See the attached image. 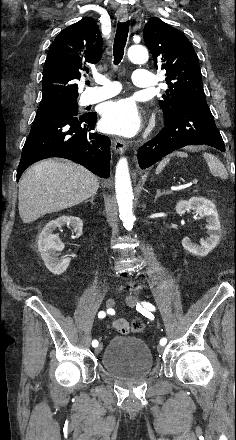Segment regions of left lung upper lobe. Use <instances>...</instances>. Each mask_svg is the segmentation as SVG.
Wrapping results in <instances>:
<instances>
[{"mask_svg":"<svg viewBox=\"0 0 236 440\" xmlns=\"http://www.w3.org/2000/svg\"><path fill=\"white\" fill-rule=\"evenodd\" d=\"M143 35L155 68L166 70L168 90L159 101L165 118L186 101L205 98L199 61L185 35L157 17L146 23Z\"/></svg>","mask_w":236,"mask_h":440,"instance_id":"obj_1","label":"left lung upper lobe"}]
</instances>
